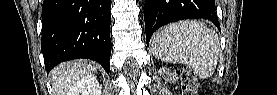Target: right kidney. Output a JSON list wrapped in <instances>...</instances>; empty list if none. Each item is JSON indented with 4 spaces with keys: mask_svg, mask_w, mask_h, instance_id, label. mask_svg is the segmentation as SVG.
<instances>
[{
    "mask_svg": "<svg viewBox=\"0 0 277 95\" xmlns=\"http://www.w3.org/2000/svg\"><path fill=\"white\" fill-rule=\"evenodd\" d=\"M75 93H70L72 95H101V90L99 89V84L94 76L83 78L78 84Z\"/></svg>",
    "mask_w": 277,
    "mask_h": 95,
    "instance_id": "ca27d5eb",
    "label": "right kidney"
}]
</instances>
